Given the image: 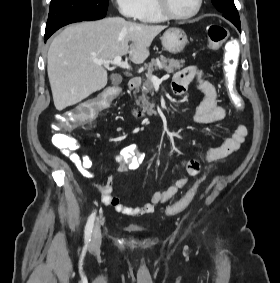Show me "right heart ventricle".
Listing matches in <instances>:
<instances>
[{
	"label": "right heart ventricle",
	"instance_id": "right-heart-ventricle-1",
	"mask_svg": "<svg viewBox=\"0 0 280 283\" xmlns=\"http://www.w3.org/2000/svg\"><path fill=\"white\" fill-rule=\"evenodd\" d=\"M139 20L144 23H158L164 18L157 11L154 0H144V10Z\"/></svg>",
	"mask_w": 280,
	"mask_h": 283
}]
</instances>
